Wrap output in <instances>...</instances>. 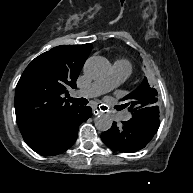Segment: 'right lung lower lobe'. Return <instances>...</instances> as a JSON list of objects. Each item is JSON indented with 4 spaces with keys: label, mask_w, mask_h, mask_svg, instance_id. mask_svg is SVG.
I'll list each match as a JSON object with an SVG mask.
<instances>
[{
    "label": "right lung lower lobe",
    "mask_w": 193,
    "mask_h": 193,
    "mask_svg": "<svg viewBox=\"0 0 193 193\" xmlns=\"http://www.w3.org/2000/svg\"><path fill=\"white\" fill-rule=\"evenodd\" d=\"M90 116L91 108L81 107L77 114H75L54 136L26 143L32 150L42 155L52 156L60 154L73 145L77 137L79 125Z\"/></svg>",
    "instance_id": "1"
}]
</instances>
